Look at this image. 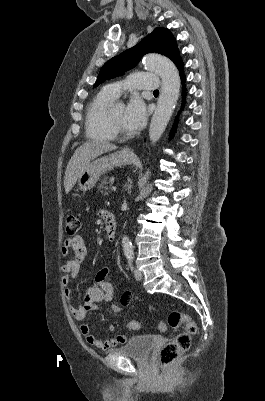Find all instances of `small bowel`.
Listing matches in <instances>:
<instances>
[{
	"mask_svg": "<svg viewBox=\"0 0 265 401\" xmlns=\"http://www.w3.org/2000/svg\"><path fill=\"white\" fill-rule=\"evenodd\" d=\"M71 251L73 252V258L67 260L61 266L62 284L65 287L64 296L71 315L77 320H82L85 318L88 312L97 310L99 303L110 302L114 297V288L107 280L110 275V269L108 267H102L97 271L94 277L93 285L87 289L83 303L80 305H75L72 301V290L68 286L71 281L77 277L81 264L87 257V247L84 239L81 236H74L64 241L61 248L62 254L67 256ZM131 299L132 293L130 291L125 292L121 297L120 303L113 304L111 306L112 312H121L123 308L130 303ZM79 330L89 345H92L103 351H108L117 345L124 344L127 341V337L125 335H117L112 339L101 340L91 333L90 327L86 323L81 324ZM106 330L112 332L114 330V326L112 324H108Z\"/></svg>",
	"mask_w": 265,
	"mask_h": 401,
	"instance_id": "small-bowel-1",
	"label": "small bowel"
}]
</instances>
